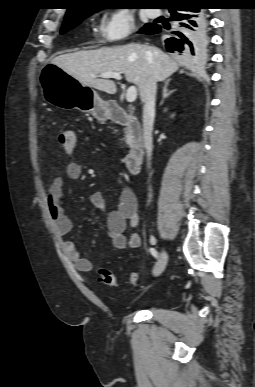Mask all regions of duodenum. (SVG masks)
Listing matches in <instances>:
<instances>
[{
    "instance_id": "410a0bca",
    "label": "duodenum",
    "mask_w": 255,
    "mask_h": 387,
    "mask_svg": "<svg viewBox=\"0 0 255 387\" xmlns=\"http://www.w3.org/2000/svg\"><path fill=\"white\" fill-rule=\"evenodd\" d=\"M108 118L127 128L131 145L125 157L124 165L130 174H137L140 171L144 157L142 128L139 120L118 105L109 106Z\"/></svg>"
}]
</instances>
